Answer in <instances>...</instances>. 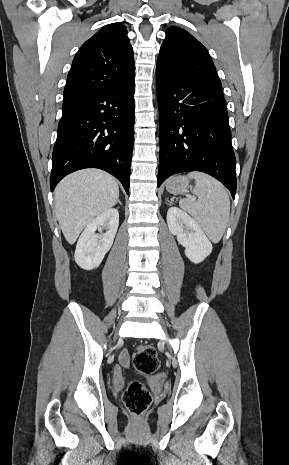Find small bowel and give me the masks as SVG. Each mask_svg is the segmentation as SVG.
Returning <instances> with one entry per match:
<instances>
[{
    "label": "small bowel",
    "mask_w": 289,
    "mask_h": 465,
    "mask_svg": "<svg viewBox=\"0 0 289 465\" xmlns=\"http://www.w3.org/2000/svg\"><path fill=\"white\" fill-rule=\"evenodd\" d=\"M119 361L123 366H129L130 358L129 353L126 350L121 351Z\"/></svg>",
    "instance_id": "obj_1"
}]
</instances>
